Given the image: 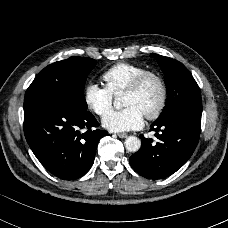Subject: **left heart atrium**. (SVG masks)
<instances>
[{
  "mask_svg": "<svg viewBox=\"0 0 228 228\" xmlns=\"http://www.w3.org/2000/svg\"><path fill=\"white\" fill-rule=\"evenodd\" d=\"M102 124L113 132L130 131L142 126L143 114L135 107L113 110L103 117Z\"/></svg>",
  "mask_w": 228,
  "mask_h": 228,
  "instance_id": "39dd6f15",
  "label": "left heart atrium"
}]
</instances>
